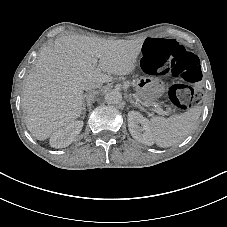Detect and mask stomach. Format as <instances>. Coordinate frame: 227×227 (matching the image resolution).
<instances>
[{
    "label": "stomach",
    "mask_w": 227,
    "mask_h": 227,
    "mask_svg": "<svg viewBox=\"0 0 227 227\" xmlns=\"http://www.w3.org/2000/svg\"><path fill=\"white\" fill-rule=\"evenodd\" d=\"M153 76L140 77L136 81V94L138 98L147 106L155 104V98L157 97L153 90Z\"/></svg>",
    "instance_id": "0dacf381"
}]
</instances>
